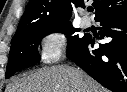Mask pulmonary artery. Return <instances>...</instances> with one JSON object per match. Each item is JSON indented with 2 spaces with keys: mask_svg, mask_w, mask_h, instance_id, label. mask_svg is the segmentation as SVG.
Segmentation results:
<instances>
[{
  "mask_svg": "<svg viewBox=\"0 0 127 92\" xmlns=\"http://www.w3.org/2000/svg\"><path fill=\"white\" fill-rule=\"evenodd\" d=\"M81 25L84 27V28H87L91 25V19L88 17V16H83L81 18Z\"/></svg>",
  "mask_w": 127,
  "mask_h": 92,
  "instance_id": "e3ab8cb5",
  "label": "pulmonary artery"
}]
</instances>
